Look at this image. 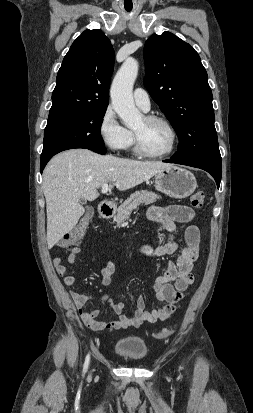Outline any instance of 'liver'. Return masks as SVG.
Here are the masks:
<instances>
[{
  "label": "liver",
  "instance_id": "obj_1",
  "mask_svg": "<svg viewBox=\"0 0 253 413\" xmlns=\"http://www.w3.org/2000/svg\"><path fill=\"white\" fill-rule=\"evenodd\" d=\"M173 166L164 162L137 161L101 156L87 149H72L54 156L43 172L47 210V245L51 249L78 223L85 209L82 198L93 201L98 188L114 182L120 191L133 188Z\"/></svg>",
  "mask_w": 253,
  "mask_h": 413
}]
</instances>
